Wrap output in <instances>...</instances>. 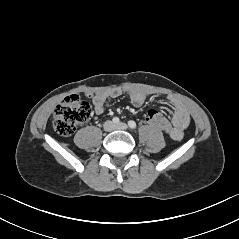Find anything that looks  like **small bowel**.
Returning a JSON list of instances; mask_svg holds the SVG:
<instances>
[{"label": "small bowel", "mask_w": 239, "mask_h": 239, "mask_svg": "<svg viewBox=\"0 0 239 239\" xmlns=\"http://www.w3.org/2000/svg\"><path fill=\"white\" fill-rule=\"evenodd\" d=\"M121 94L119 90H112V91H103L98 92L93 96V103L95 113L97 115H102L105 111V103L110 98H115ZM129 96L132 103L135 106L142 105L145 100L147 99L148 95L139 90V89H131L129 91ZM169 101L172 106L171 110V125L169 129L163 131L167 133L171 139L173 140H181L184 134L185 129L187 128L190 122V116L187 112L186 108L174 97H170Z\"/></svg>", "instance_id": "small-bowel-1"}]
</instances>
